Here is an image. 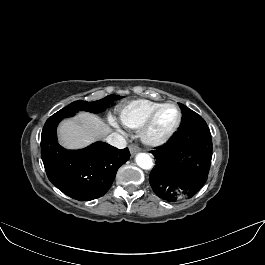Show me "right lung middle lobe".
<instances>
[{"label":"right lung middle lobe","instance_id":"right-lung-middle-lobe-1","mask_svg":"<svg viewBox=\"0 0 265 265\" xmlns=\"http://www.w3.org/2000/svg\"><path fill=\"white\" fill-rule=\"evenodd\" d=\"M121 98L119 95H109L101 100H97L94 102L87 101H75L70 103L68 106L59 110L55 113V115H74V113L78 111H88L91 113H100L104 111L113 101Z\"/></svg>","mask_w":265,"mask_h":265}]
</instances>
